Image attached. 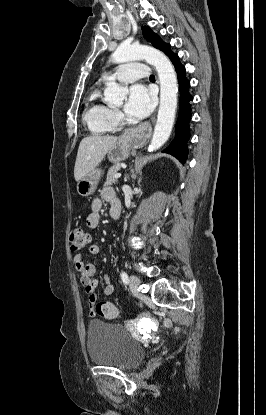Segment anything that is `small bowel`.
Instances as JSON below:
<instances>
[{
	"label": "small bowel",
	"mask_w": 266,
	"mask_h": 415,
	"mask_svg": "<svg viewBox=\"0 0 266 415\" xmlns=\"http://www.w3.org/2000/svg\"><path fill=\"white\" fill-rule=\"evenodd\" d=\"M105 201L110 205V214L112 217H117L120 211V202L118 200L115 190L111 187H105L101 190V198H95L92 202L91 211L86 218V224L90 228H96L100 222V209L102 202ZM100 247L98 244H91L89 246V253L91 255H98ZM73 265L75 269L80 273V281L88 293V306L90 313L93 314V308L95 306L97 296L95 289L98 285V281L95 278L96 267L92 263H85L81 254H75L73 256ZM105 285L103 287V293L110 295L114 291V286L111 284L108 276L104 277Z\"/></svg>",
	"instance_id": "1"
}]
</instances>
